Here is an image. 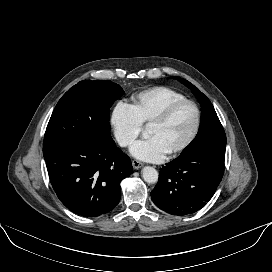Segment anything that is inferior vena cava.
I'll list each match as a JSON object with an SVG mask.
<instances>
[{
	"label": "inferior vena cava",
	"instance_id": "inferior-vena-cava-1",
	"mask_svg": "<svg viewBox=\"0 0 272 272\" xmlns=\"http://www.w3.org/2000/svg\"><path fill=\"white\" fill-rule=\"evenodd\" d=\"M119 144H120L121 146H125V145L127 144V142L124 141V140H122V141H119Z\"/></svg>",
	"mask_w": 272,
	"mask_h": 272
}]
</instances>
